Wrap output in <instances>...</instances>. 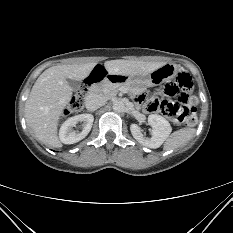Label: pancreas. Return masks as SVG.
Wrapping results in <instances>:
<instances>
[{
  "label": "pancreas",
  "instance_id": "obj_1",
  "mask_svg": "<svg viewBox=\"0 0 233 233\" xmlns=\"http://www.w3.org/2000/svg\"><path fill=\"white\" fill-rule=\"evenodd\" d=\"M100 87H101L102 94L107 98L116 96L120 90H125L131 93H137L141 91V89L136 90V89H133L127 86L126 84H121V83H114V84L102 83Z\"/></svg>",
  "mask_w": 233,
  "mask_h": 233
}]
</instances>
